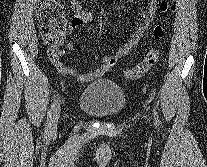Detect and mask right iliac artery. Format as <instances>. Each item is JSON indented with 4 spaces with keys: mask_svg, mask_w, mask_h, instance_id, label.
<instances>
[{
    "mask_svg": "<svg viewBox=\"0 0 207 167\" xmlns=\"http://www.w3.org/2000/svg\"><path fill=\"white\" fill-rule=\"evenodd\" d=\"M59 99H60L59 98V95H56L55 98H54V102L51 105V108H50V110L48 112L47 121H46V125H45V131L46 132H49V130L51 128V125H52V117H53L54 112L56 111V108H57V104H58Z\"/></svg>",
    "mask_w": 207,
    "mask_h": 167,
    "instance_id": "right-iliac-artery-1",
    "label": "right iliac artery"
}]
</instances>
